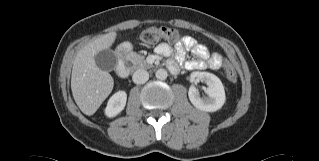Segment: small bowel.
I'll return each mask as SVG.
<instances>
[{
    "mask_svg": "<svg viewBox=\"0 0 319 161\" xmlns=\"http://www.w3.org/2000/svg\"><path fill=\"white\" fill-rule=\"evenodd\" d=\"M175 50L177 61L184 63L185 68L188 70H201L210 67L212 63L221 64L223 61L221 54L210 53L206 46L198 43L194 38L189 36H185L182 41L176 45ZM188 51H191L197 59L185 61ZM156 52L164 57H169L172 55L173 50L167 43H161L157 46ZM168 67L173 73L178 71V64L175 61H169Z\"/></svg>",
    "mask_w": 319,
    "mask_h": 161,
    "instance_id": "obj_1",
    "label": "small bowel"
}]
</instances>
